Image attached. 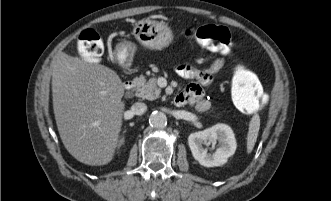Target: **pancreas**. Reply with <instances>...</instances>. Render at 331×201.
<instances>
[{
	"label": "pancreas",
	"mask_w": 331,
	"mask_h": 201,
	"mask_svg": "<svg viewBox=\"0 0 331 201\" xmlns=\"http://www.w3.org/2000/svg\"><path fill=\"white\" fill-rule=\"evenodd\" d=\"M134 83L136 85V96L148 100L159 98L161 89L157 86V79L155 77L146 81L144 76H140L134 79ZM210 108L211 104L209 101L202 100L197 102L196 110L198 112H204Z\"/></svg>",
	"instance_id": "obj_1"
}]
</instances>
